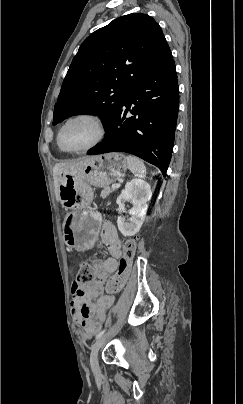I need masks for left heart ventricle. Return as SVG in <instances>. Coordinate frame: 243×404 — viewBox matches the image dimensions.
I'll list each match as a JSON object with an SVG mask.
<instances>
[{"instance_id":"obj_1","label":"left heart ventricle","mask_w":243,"mask_h":404,"mask_svg":"<svg viewBox=\"0 0 243 404\" xmlns=\"http://www.w3.org/2000/svg\"><path fill=\"white\" fill-rule=\"evenodd\" d=\"M98 135L96 123L89 118L70 121L62 131L61 144L69 149H81L95 141Z\"/></svg>"}]
</instances>
